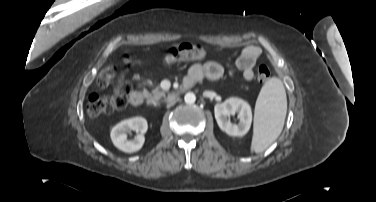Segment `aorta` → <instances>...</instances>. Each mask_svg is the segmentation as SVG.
I'll return each instance as SVG.
<instances>
[{
    "label": "aorta",
    "mask_w": 376,
    "mask_h": 202,
    "mask_svg": "<svg viewBox=\"0 0 376 202\" xmlns=\"http://www.w3.org/2000/svg\"><path fill=\"white\" fill-rule=\"evenodd\" d=\"M184 101L187 104H193L196 101V96L193 92H188L185 94Z\"/></svg>",
    "instance_id": "obj_1"
}]
</instances>
